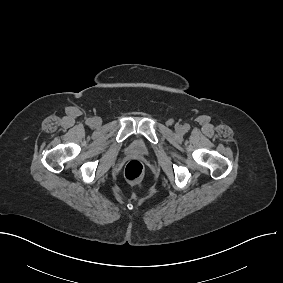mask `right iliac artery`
Returning <instances> with one entry per match:
<instances>
[{"label":"right iliac artery","mask_w":283,"mask_h":283,"mask_svg":"<svg viewBox=\"0 0 283 283\" xmlns=\"http://www.w3.org/2000/svg\"><path fill=\"white\" fill-rule=\"evenodd\" d=\"M87 123H88V124H91V123H92V120H91V119H88V120H87Z\"/></svg>","instance_id":"right-iliac-artery-1"}]
</instances>
